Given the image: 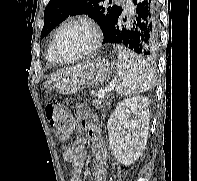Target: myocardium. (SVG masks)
<instances>
[{
	"instance_id": "f54148a6",
	"label": "myocardium",
	"mask_w": 197,
	"mask_h": 181,
	"mask_svg": "<svg viewBox=\"0 0 197 181\" xmlns=\"http://www.w3.org/2000/svg\"><path fill=\"white\" fill-rule=\"evenodd\" d=\"M73 25L86 26L92 33V37H93L92 43H91L90 47L87 50H85L84 52H82L72 58H69V59H61L59 57L58 51H57L58 40H59L61 34L63 33V31L66 28L73 26ZM100 43H101V32H100V29L97 26V24L93 20H90L87 18H77V19H73V20H70V21L64 23L57 30L56 34L54 35L53 42H52V53H53L54 59L57 63L69 64V63H73L75 61H78L80 59H84L86 57L93 55L98 50Z\"/></svg>"
}]
</instances>
